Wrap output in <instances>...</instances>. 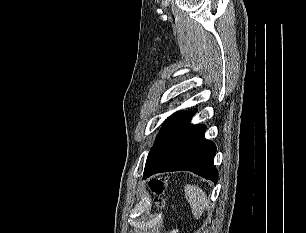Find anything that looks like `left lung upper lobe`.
<instances>
[{
	"label": "left lung upper lobe",
	"mask_w": 306,
	"mask_h": 233,
	"mask_svg": "<svg viewBox=\"0 0 306 233\" xmlns=\"http://www.w3.org/2000/svg\"><path fill=\"white\" fill-rule=\"evenodd\" d=\"M189 112L187 111H179L168 117L162 127V132L159 134L158 139L156 140L154 146L151 148V151L154 149L156 144L177 122H179L184 116H186ZM149 152V154L151 153Z\"/></svg>",
	"instance_id": "1"
}]
</instances>
